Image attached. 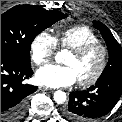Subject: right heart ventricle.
I'll return each mask as SVG.
<instances>
[{
	"label": "right heart ventricle",
	"instance_id": "obj_1",
	"mask_svg": "<svg viewBox=\"0 0 122 122\" xmlns=\"http://www.w3.org/2000/svg\"><path fill=\"white\" fill-rule=\"evenodd\" d=\"M56 43L63 48L74 49L82 45L98 42L97 34L88 26L78 25L58 31Z\"/></svg>",
	"mask_w": 122,
	"mask_h": 122
}]
</instances>
